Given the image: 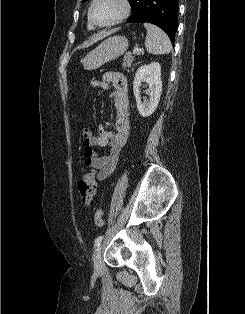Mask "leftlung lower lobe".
Masks as SVG:
<instances>
[{"instance_id":"0a47b994","label":"left lung lower lobe","mask_w":245,"mask_h":314,"mask_svg":"<svg viewBox=\"0 0 245 314\" xmlns=\"http://www.w3.org/2000/svg\"><path fill=\"white\" fill-rule=\"evenodd\" d=\"M128 22H148L163 29L171 42L178 25V0H142L141 9Z\"/></svg>"}]
</instances>
